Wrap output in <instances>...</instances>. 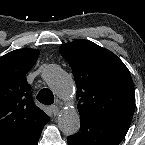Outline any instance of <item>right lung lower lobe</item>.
I'll use <instances>...</instances> for the list:
<instances>
[{
  "label": "right lung lower lobe",
  "mask_w": 145,
  "mask_h": 145,
  "mask_svg": "<svg viewBox=\"0 0 145 145\" xmlns=\"http://www.w3.org/2000/svg\"><path fill=\"white\" fill-rule=\"evenodd\" d=\"M42 128H40L37 131H34L32 133L26 134L21 139L16 141L13 145H37L38 140L41 135Z\"/></svg>",
  "instance_id": "obj_1"
}]
</instances>
